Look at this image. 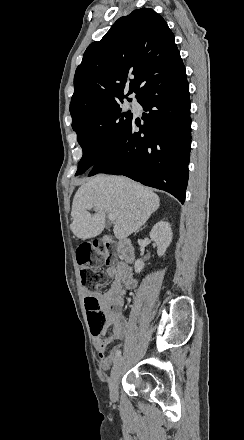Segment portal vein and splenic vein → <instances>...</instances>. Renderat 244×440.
Wrapping results in <instances>:
<instances>
[{
    "label": "portal vein and splenic vein",
    "mask_w": 244,
    "mask_h": 440,
    "mask_svg": "<svg viewBox=\"0 0 244 440\" xmlns=\"http://www.w3.org/2000/svg\"><path fill=\"white\" fill-rule=\"evenodd\" d=\"M92 206H88V210H91ZM108 220H110V222H114L115 220V216L114 214H108Z\"/></svg>",
    "instance_id": "18ae733b"
}]
</instances>
